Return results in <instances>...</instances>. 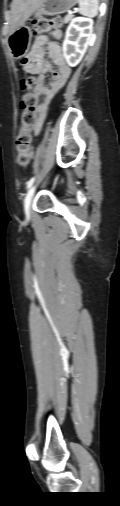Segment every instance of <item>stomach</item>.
Segmentation results:
<instances>
[{
	"mask_svg": "<svg viewBox=\"0 0 120 506\" xmlns=\"http://www.w3.org/2000/svg\"><path fill=\"white\" fill-rule=\"evenodd\" d=\"M78 0H44V3L34 13V20L40 19L43 15H57L70 10ZM32 32L25 25L18 27L8 36V46L11 55L15 59L25 56L29 50Z\"/></svg>",
	"mask_w": 120,
	"mask_h": 506,
	"instance_id": "obj_1",
	"label": "stomach"
}]
</instances>
